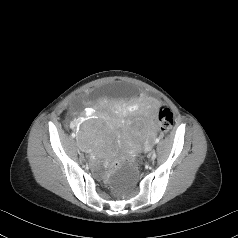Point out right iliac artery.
Returning a JSON list of instances; mask_svg holds the SVG:
<instances>
[{
	"mask_svg": "<svg viewBox=\"0 0 238 238\" xmlns=\"http://www.w3.org/2000/svg\"><path fill=\"white\" fill-rule=\"evenodd\" d=\"M71 136L74 138L76 135H75V133H72Z\"/></svg>",
	"mask_w": 238,
	"mask_h": 238,
	"instance_id": "right-iliac-artery-1",
	"label": "right iliac artery"
}]
</instances>
